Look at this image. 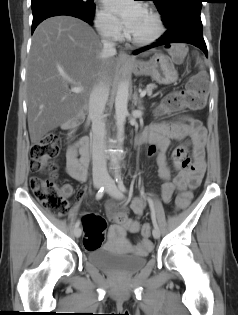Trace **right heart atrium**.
<instances>
[{"label": "right heart atrium", "instance_id": "obj_1", "mask_svg": "<svg viewBox=\"0 0 238 315\" xmlns=\"http://www.w3.org/2000/svg\"><path fill=\"white\" fill-rule=\"evenodd\" d=\"M95 25L98 32L107 39L115 40L121 35V26L116 19L104 9H99L96 12Z\"/></svg>", "mask_w": 238, "mask_h": 315}]
</instances>
